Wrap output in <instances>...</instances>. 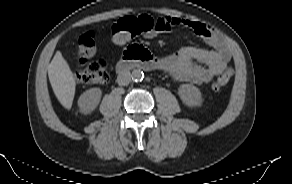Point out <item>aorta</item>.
Instances as JSON below:
<instances>
[{"label":"aorta","mask_w":292,"mask_h":184,"mask_svg":"<svg viewBox=\"0 0 292 184\" xmlns=\"http://www.w3.org/2000/svg\"><path fill=\"white\" fill-rule=\"evenodd\" d=\"M131 77H132L133 81L139 82V81L143 80L144 73L139 69H135V70L132 71Z\"/></svg>","instance_id":"762f6f07"}]
</instances>
